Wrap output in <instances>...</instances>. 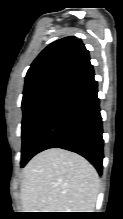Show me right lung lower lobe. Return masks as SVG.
Here are the masks:
<instances>
[{
    "mask_svg": "<svg viewBox=\"0 0 123 219\" xmlns=\"http://www.w3.org/2000/svg\"><path fill=\"white\" fill-rule=\"evenodd\" d=\"M94 70L70 80L47 115L32 146V157L49 148H62L85 157L102 174V118Z\"/></svg>",
    "mask_w": 123,
    "mask_h": 219,
    "instance_id": "obj_1",
    "label": "right lung lower lobe"
}]
</instances>
